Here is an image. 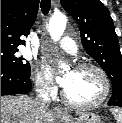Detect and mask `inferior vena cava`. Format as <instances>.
<instances>
[{
    "label": "inferior vena cava",
    "instance_id": "602c4592",
    "mask_svg": "<svg viewBox=\"0 0 122 123\" xmlns=\"http://www.w3.org/2000/svg\"><path fill=\"white\" fill-rule=\"evenodd\" d=\"M37 86H43V85L37 84ZM42 92L43 94L39 92L37 97L35 98V106L37 109V115L44 114L47 111L48 106L50 104V98L47 95V89L43 88Z\"/></svg>",
    "mask_w": 122,
    "mask_h": 123
}]
</instances>
